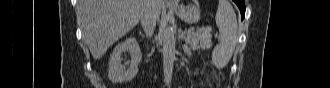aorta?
Returning a JSON list of instances; mask_svg holds the SVG:
<instances>
[{"instance_id": "obj_1", "label": "aorta", "mask_w": 330, "mask_h": 88, "mask_svg": "<svg viewBox=\"0 0 330 88\" xmlns=\"http://www.w3.org/2000/svg\"><path fill=\"white\" fill-rule=\"evenodd\" d=\"M175 31L172 26H167L162 34L163 43V72L166 85H170L172 81L173 65L175 60Z\"/></svg>"}]
</instances>
